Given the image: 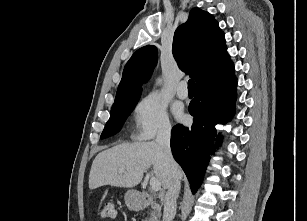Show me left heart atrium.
I'll return each mask as SVG.
<instances>
[{"mask_svg":"<svg viewBox=\"0 0 307 221\" xmlns=\"http://www.w3.org/2000/svg\"><path fill=\"white\" fill-rule=\"evenodd\" d=\"M176 115H177V117H179V118H181L182 117V114H181V112L180 111H176Z\"/></svg>","mask_w":307,"mask_h":221,"instance_id":"1","label":"left heart atrium"}]
</instances>
